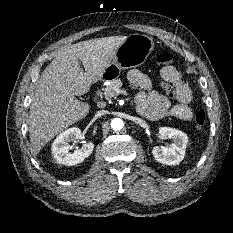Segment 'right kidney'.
<instances>
[{
    "instance_id": "obj_1",
    "label": "right kidney",
    "mask_w": 233,
    "mask_h": 233,
    "mask_svg": "<svg viewBox=\"0 0 233 233\" xmlns=\"http://www.w3.org/2000/svg\"><path fill=\"white\" fill-rule=\"evenodd\" d=\"M81 130L77 127L69 128L63 131L52 144V153L54 158L63 165L73 166L90 156L93 151L94 144L92 142H85L80 149L73 153L69 152L70 142L77 140L80 137Z\"/></svg>"
}]
</instances>
